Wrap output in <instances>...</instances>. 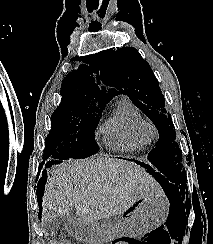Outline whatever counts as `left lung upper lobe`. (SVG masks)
<instances>
[{"label":"left lung upper lobe","instance_id":"5c2ea615","mask_svg":"<svg viewBox=\"0 0 213 244\" xmlns=\"http://www.w3.org/2000/svg\"><path fill=\"white\" fill-rule=\"evenodd\" d=\"M96 73L97 80L107 87V90L103 87L102 92L108 101L126 94L152 120L160 139L148 158L165 168V174L177 190H187L182 153L174 142L176 134L171 115L166 114L164 95L148 62L133 47L106 50L98 59Z\"/></svg>","mask_w":213,"mask_h":244}]
</instances>
